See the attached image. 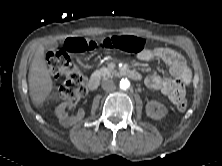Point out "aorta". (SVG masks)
<instances>
[{
	"label": "aorta",
	"instance_id": "1",
	"mask_svg": "<svg viewBox=\"0 0 222 166\" xmlns=\"http://www.w3.org/2000/svg\"><path fill=\"white\" fill-rule=\"evenodd\" d=\"M130 87V82L128 79H121L120 81V88L123 89V90H126Z\"/></svg>",
	"mask_w": 222,
	"mask_h": 166
}]
</instances>
